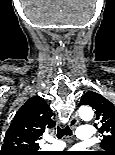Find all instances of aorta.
Returning <instances> with one entry per match:
<instances>
[{
  "label": "aorta",
  "instance_id": "762f6f07",
  "mask_svg": "<svg viewBox=\"0 0 115 155\" xmlns=\"http://www.w3.org/2000/svg\"><path fill=\"white\" fill-rule=\"evenodd\" d=\"M79 117L84 121H90L93 118L94 112L89 106H82L78 110Z\"/></svg>",
  "mask_w": 115,
  "mask_h": 155
}]
</instances>
